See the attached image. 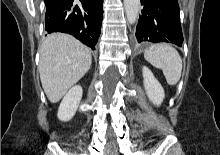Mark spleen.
<instances>
[{
    "instance_id": "spleen-1",
    "label": "spleen",
    "mask_w": 220,
    "mask_h": 155,
    "mask_svg": "<svg viewBox=\"0 0 220 155\" xmlns=\"http://www.w3.org/2000/svg\"><path fill=\"white\" fill-rule=\"evenodd\" d=\"M144 57L151 65L162 70L169 85L173 86L180 80L182 59L170 44H154L145 50Z\"/></svg>"
}]
</instances>
